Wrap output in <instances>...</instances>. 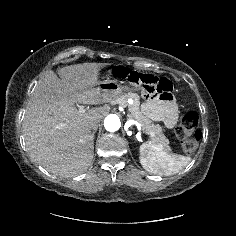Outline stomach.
Returning <instances> with one entry per match:
<instances>
[{
	"instance_id": "1",
	"label": "stomach",
	"mask_w": 236,
	"mask_h": 236,
	"mask_svg": "<svg viewBox=\"0 0 236 236\" xmlns=\"http://www.w3.org/2000/svg\"><path fill=\"white\" fill-rule=\"evenodd\" d=\"M97 88L102 92V94L108 99L120 97L126 91H137V89L122 85L117 80H106L97 85ZM139 97V96H138Z\"/></svg>"
}]
</instances>
